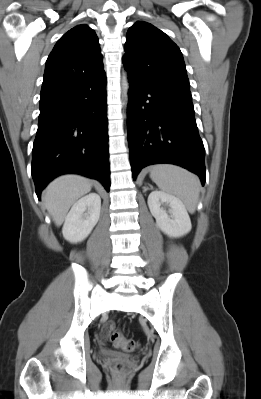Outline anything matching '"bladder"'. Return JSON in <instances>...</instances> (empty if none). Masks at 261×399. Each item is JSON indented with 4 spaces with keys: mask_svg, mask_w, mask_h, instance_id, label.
<instances>
[{
    "mask_svg": "<svg viewBox=\"0 0 261 399\" xmlns=\"http://www.w3.org/2000/svg\"><path fill=\"white\" fill-rule=\"evenodd\" d=\"M98 354H99L100 356H102V357H116V356H118V354L115 353L114 351H111V350H104V349L99 350V351H98Z\"/></svg>",
    "mask_w": 261,
    "mask_h": 399,
    "instance_id": "obj_1",
    "label": "bladder"
}]
</instances>
